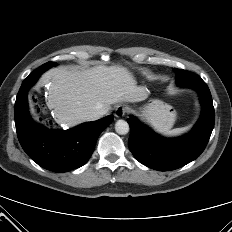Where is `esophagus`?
I'll return each mask as SVG.
<instances>
[{"label": "esophagus", "instance_id": "34e87169", "mask_svg": "<svg viewBox=\"0 0 232 232\" xmlns=\"http://www.w3.org/2000/svg\"><path fill=\"white\" fill-rule=\"evenodd\" d=\"M129 108L124 106V105H118L115 109V116L117 118L123 117L124 115H126V113H128Z\"/></svg>", "mask_w": 232, "mask_h": 232}]
</instances>
